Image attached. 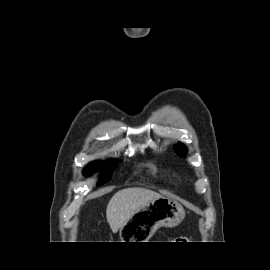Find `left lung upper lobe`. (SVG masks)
Segmentation results:
<instances>
[{
  "label": "left lung upper lobe",
  "instance_id": "1",
  "mask_svg": "<svg viewBox=\"0 0 270 270\" xmlns=\"http://www.w3.org/2000/svg\"><path fill=\"white\" fill-rule=\"evenodd\" d=\"M175 150H176V152H177L180 156L185 157L186 152H187V149H186V147H185L183 144L178 143V144L175 146Z\"/></svg>",
  "mask_w": 270,
  "mask_h": 270
}]
</instances>
